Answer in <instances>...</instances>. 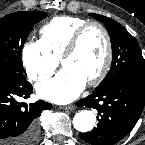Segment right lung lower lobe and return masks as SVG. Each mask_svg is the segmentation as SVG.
I'll return each mask as SVG.
<instances>
[{"label": "right lung lower lobe", "mask_w": 145, "mask_h": 145, "mask_svg": "<svg viewBox=\"0 0 145 145\" xmlns=\"http://www.w3.org/2000/svg\"><path fill=\"white\" fill-rule=\"evenodd\" d=\"M32 90L23 73L0 72V145H35L38 117L51 109V104L42 100L29 105L18 102L19 97H30Z\"/></svg>", "instance_id": "1"}]
</instances>
